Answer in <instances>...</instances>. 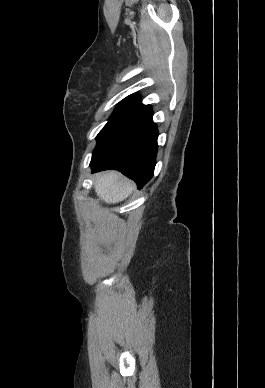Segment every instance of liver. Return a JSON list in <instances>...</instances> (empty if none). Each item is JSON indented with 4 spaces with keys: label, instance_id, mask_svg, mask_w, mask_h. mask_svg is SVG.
Masks as SVG:
<instances>
[{
    "label": "liver",
    "instance_id": "1",
    "mask_svg": "<svg viewBox=\"0 0 265 388\" xmlns=\"http://www.w3.org/2000/svg\"><path fill=\"white\" fill-rule=\"evenodd\" d=\"M94 188L100 200L106 204H118L131 196L135 190V184L121 176L119 172H105V174H96Z\"/></svg>",
    "mask_w": 265,
    "mask_h": 388
}]
</instances>
